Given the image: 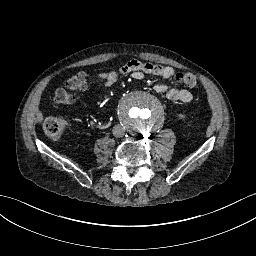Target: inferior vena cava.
Returning <instances> with one entry per match:
<instances>
[{
  "label": "inferior vena cava",
  "mask_w": 256,
  "mask_h": 256,
  "mask_svg": "<svg viewBox=\"0 0 256 256\" xmlns=\"http://www.w3.org/2000/svg\"><path fill=\"white\" fill-rule=\"evenodd\" d=\"M113 135L116 136V137H122L124 136V133H125V129L121 126V125H115L113 127Z\"/></svg>",
  "instance_id": "inferior-vena-cava-1"
}]
</instances>
